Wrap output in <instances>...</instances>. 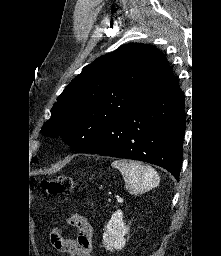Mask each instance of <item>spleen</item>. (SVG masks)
<instances>
[{
    "mask_svg": "<svg viewBox=\"0 0 221 256\" xmlns=\"http://www.w3.org/2000/svg\"><path fill=\"white\" fill-rule=\"evenodd\" d=\"M112 167L122 173L125 188L134 195L143 194L157 187L160 181L154 168L137 161L115 160Z\"/></svg>",
    "mask_w": 221,
    "mask_h": 256,
    "instance_id": "spleen-1",
    "label": "spleen"
}]
</instances>
